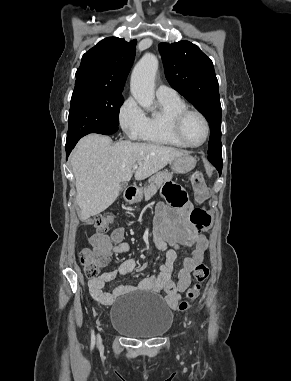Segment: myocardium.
<instances>
[{"mask_svg":"<svg viewBox=\"0 0 291 381\" xmlns=\"http://www.w3.org/2000/svg\"><path fill=\"white\" fill-rule=\"evenodd\" d=\"M190 114L198 115L202 119L204 126H205V136H204V139L202 140V142L199 144H191L190 142H188L187 139L184 137L183 132H182L183 121ZM171 129H172V132L175 135V137L180 142H182L186 147H190V148L201 147L202 145H204L206 143V141L208 140L209 135H210V124H209L208 119L206 118V116L201 111L196 110V109L186 108V109L178 112L176 115H174V117L172 118V121H171Z\"/></svg>","mask_w":291,"mask_h":381,"instance_id":"obj_1","label":"myocardium"}]
</instances>
